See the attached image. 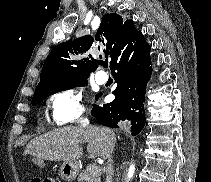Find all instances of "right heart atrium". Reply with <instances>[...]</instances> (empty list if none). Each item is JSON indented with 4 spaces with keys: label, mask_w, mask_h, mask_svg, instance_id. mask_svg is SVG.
I'll return each mask as SVG.
<instances>
[{
    "label": "right heart atrium",
    "mask_w": 211,
    "mask_h": 182,
    "mask_svg": "<svg viewBox=\"0 0 211 182\" xmlns=\"http://www.w3.org/2000/svg\"><path fill=\"white\" fill-rule=\"evenodd\" d=\"M49 120L58 126L78 123L86 115L83 95L80 91L67 88L51 95Z\"/></svg>",
    "instance_id": "d8ad5b80"
}]
</instances>
